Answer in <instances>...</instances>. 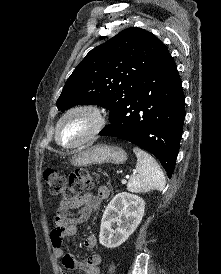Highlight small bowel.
<instances>
[{
	"mask_svg": "<svg viewBox=\"0 0 221 274\" xmlns=\"http://www.w3.org/2000/svg\"><path fill=\"white\" fill-rule=\"evenodd\" d=\"M110 196V190L102 186L98 189V195L87 194L73 201L60 203L54 215V227L51 231V243L54 256L61 259V273L65 270H81L85 274L101 273V256L97 253L90 255L86 261L77 260L72 254L63 250V240L73 236L77 231V225L87 220L91 212L97 209L103 199ZM97 246L94 234L88 235L84 240V247L92 250Z\"/></svg>",
	"mask_w": 221,
	"mask_h": 274,
	"instance_id": "obj_1",
	"label": "small bowel"
}]
</instances>
